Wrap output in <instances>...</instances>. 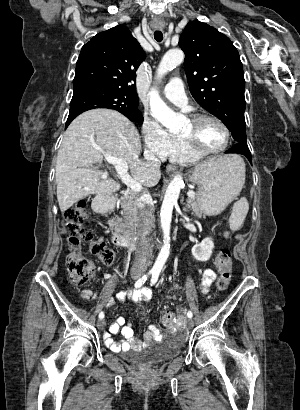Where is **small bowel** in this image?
<instances>
[{"mask_svg": "<svg viewBox=\"0 0 300 410\" xmlns=\"http://www.w3.org/2000/svg\"><path fill=\"white\" fill-rule=\"evenodd\" d=\"M216 278L217 273L214 270H204L200 281V290L203 293H208ZM81 297L84 300H88L94 298L95 294L90 289H83L81 291ZM117 297L120 301L131 300L133 302H145L151 298V292L148 289L124 291L120 292ZM114 335H121L123 339L117 341L112 337ZM104 338L106 345L112 351L138 349L146 343L159 339L160 332L156 326L151 325L144 334L143 340H138L134 336L132 326L127 323L124 318L120 317L110 325L109 332L104 335Z\"/></svg>", "mask_w": 300, "mask_h": 410, "instance_id": "c3829d8e", "label": "small bowel"}]
</instances>
